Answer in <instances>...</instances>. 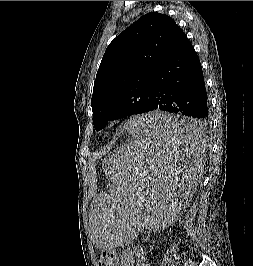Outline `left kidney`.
<instances>
[{
    "instance_id": "obj_1",
    "label": "left kidney",
    "mask_w": 253,
    "mask_h": 266,
    "mask_svg": "<svg viewBox=\"0 0 253 266\" xmlns=\"http://www.w3.org/2000/svg\"><path fill=\"white\" fill-rule=\"evenodd\" d=\"M172 220H173V219H172ZM162 225H163V226H165V225H166V223H165V222H163V223H162Z\"/></svg>"
}]
</instances>
